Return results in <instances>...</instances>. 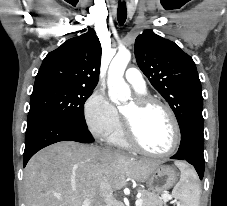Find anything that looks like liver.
I'll return each instance as SVG.
<instances>
[{"mask_svg":"<svg viewBox=\"0 0 227 206\" xmlns=\"http://www.w3.org/2000/svg\"><path fill=\"white\" fill-rule=\"evenodd\" d=\"M161 162L74 141H62L36 153L24 172L25 206H90L103 202L101 183L119 190L127 178L144 182Z\"/></svg>","mask_w":227,"mask_h":206,"instance_id":"1","label":"liver"}]
</instances>
